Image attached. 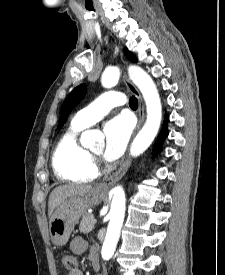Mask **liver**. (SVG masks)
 I'll return each instance as SVG.
<instances>
[{"mask_svg":"<svg viewBox=\"0 0 225 275\" xmlns=\"http://www.w3.org/2000/svg\"><path fill=\"white\" fill-rule=\"evenodd\" d=\"M92 189L93 187L91 185L86 184H68L56 187L49 196V216H51L56 207L67 198L87 194Z\"/></svg>","mask_w":225,"mask_h":275,"instance_id":"obj_1","label":"liver"}]
</instances>
